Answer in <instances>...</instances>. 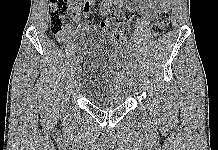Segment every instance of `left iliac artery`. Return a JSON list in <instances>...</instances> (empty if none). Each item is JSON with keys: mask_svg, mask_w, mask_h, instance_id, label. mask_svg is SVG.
<instances>
[{"mask_svg": "<svg viewBox=\"0 0 218 150\" xmlns=\"http://www.w3.org/2000/svg\"><path fill=\"white\" fill-rule=\"evenodd\" d=\"M131 75L133 76L136 72L132 69L131 71ZM137 74V73H136Z\"/></svg>", "mask_w": 218, "mask_h": 150, "instance_id": "obj_1", "label": "left iliac artery"}]
</instances>
